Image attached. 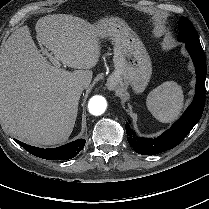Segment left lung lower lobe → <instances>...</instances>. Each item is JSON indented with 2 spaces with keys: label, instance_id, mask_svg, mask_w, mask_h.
Segmentation results:
<instances>
[{
  "label": "left lung lower lobe",
  "instance_id": "left-lung-lower-lobe-1",
  "mask_svg": "<svg viewBox=\"0 0 209 209\" xmlns=\"http://www.w3.org/2000/svg\"><path fill=\"white\" fill-rule=\"evenodd\" d=\"M196 70V89L192 104L170 129L156 139L138 137L126 123V134L130 146L139 154L155 155L170 150L183 141L200 120L205 105L206 58L200 41L185 42Z\"/></svg>",
  "mask_w": 209,
  "mask_h": 209
}]
</instances>
